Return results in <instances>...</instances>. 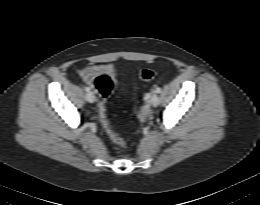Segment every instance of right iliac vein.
<instances>
[{
	"label": "right iliac vein",
	"instance_id": "obj_1",
	"mask_svg": "<svg viewBox=\"0 0 260 205\" xmlns=\"http://www.w3.org/2000/svg\"><path fill=\"white\" fill-rule=\"evenodd\" d=\"M86 100L89 102V103H93L95 102V96L92 92H88L86 94Z\"/></svg>",
	"mask_w": 260,
	"mask_h": 205
}]
</instances>
